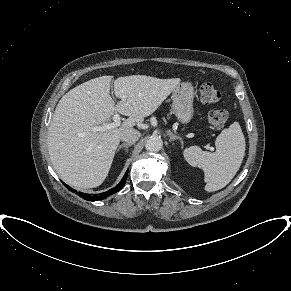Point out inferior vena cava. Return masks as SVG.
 <instances>
[{
	"instance_id": "obj_1",
	"label": "inferior vena cava",
	"mask_w": 291,
	"mask_h": 291,
	"mask_svg": "<svg viewBox=\"0 0 291 291\" xmlns=\"http://www.w3.org/2000/svg\"><path fill=\"white\" fill-rule=\"evenodd\" d=\"M140 137H141V133L138 130L131 128V129L124 131L121 134L120 139L122 141L127 142V143L133 144L136 141H138Z\"/></svg>"
}]
</instances>
